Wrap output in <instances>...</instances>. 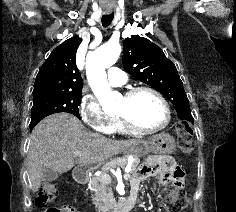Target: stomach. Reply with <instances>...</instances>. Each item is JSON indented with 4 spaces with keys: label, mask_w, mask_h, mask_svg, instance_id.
<instances>
[{
    "label": "stomach",
    "mask_w": 236,
    "mask_h": 212,
    "mask_svg": "<svg viewBox=\"0 0 236 212\" xmlns=\"http://www.w3.org/2000/svg\"><path fill=\"white\" fill-rule=\"evenodd\" d=\"M175 150V140L167 133H160L152 136L147 141L135 145L129 154L135 158L143 157L148 153L171 154Z\"/></svg>",
    "instance_id": "stomach-1"
}]
</instances>
